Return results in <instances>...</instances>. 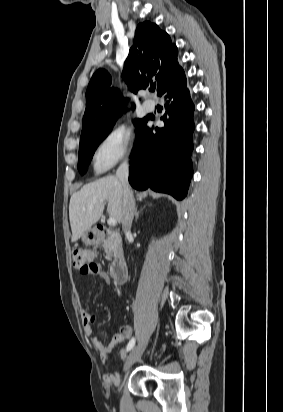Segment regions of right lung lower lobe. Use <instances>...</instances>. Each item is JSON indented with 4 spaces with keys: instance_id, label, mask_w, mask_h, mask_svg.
<instances>
[{
    "instance_id": "1",
    "label": "right lung lower lobe",
    "mask_w": 283,
    "mask_h": 412,
    "mask_svg": "<svg viewBox=\"0 0 283 412\" xmlns=\"http://www.w3.org/2000/svg\"><path fill=\"white\" fill-rule=\"evenodd\" d=\"M186 78L176 86H167L159 95L165 100L163 128L147 127L153 116H146L137 131L132 151L130 184L138 190L150 187L157 192L183 199L193 174L194 104L186 87Z\"/></svg>"
}]
</instances>
